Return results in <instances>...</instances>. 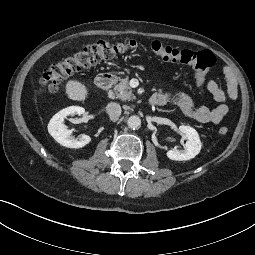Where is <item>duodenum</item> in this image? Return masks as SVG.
Segmentation results:
<instances>
[{
  "label": "duodenum",
  "mask_w": 255,
  "mask_h": 255,
  "mask_svg": "<svg viewBox=\"0 0 255 255\" xmlns=\"http://www.w3.org/2000/svg\"><path fill=\"white\" fill-rule=\"evenodd\" d=\"M115 79H116V76L113 73L101 72L96 76L95 83L100 90L108 91L111 88ZM148 105L151 108H155L158 106V101L152 97L148 101Z\"/></svg>",
  "instance_id": "duodenum-1"
}]
</instances>
